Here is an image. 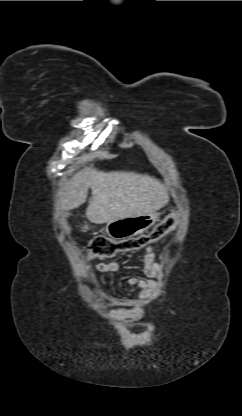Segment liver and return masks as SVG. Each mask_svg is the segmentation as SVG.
Returning <instances> with one entry per match:
<instances>
[{"label": "liver", "mask_w": 242, "mask_h": 416, "mask_svg": "<svg viewBox=\"0 0 242 416\" xmlns=\"http://www.w3.org/2000/svg\"><path fill=\"white\" fill-rule=\"evenodd\" d=\"M89 188L92 198L86 217L94 224L151 214L169 202L167 187L147 174L85 168L63 187L61 209L69 211L85 203Z\"/></svg>", "instance_id": "liver-1"}]
</instances>
